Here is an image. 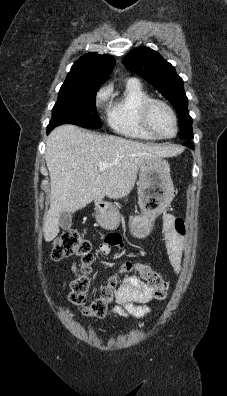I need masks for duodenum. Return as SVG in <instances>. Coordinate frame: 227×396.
<instances>
[{
    "mask_svg": "<svg viewBox=\"0 0 227 396\" xmlns=\"http://www.w3.org/2000/svg\"><path fill=\"white\" fill-rule=\"evenodd\" d=\"M96 205H97L99 208H104V207L106 206L105 202H104L103 200H101V199H97V200H96Z\"/></svg>",
    "mask_w": 227,
    "mask_h": 396,
    "instance_id": "1",
    "label": "duodenum"
}]
</instances>
